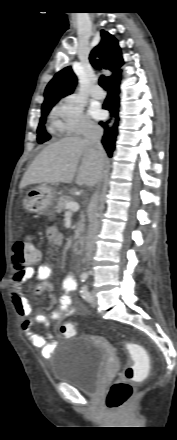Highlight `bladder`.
Returning <instances> with one entry per match:
<instances>
[{
	"label": "bladder",
	"mask_w": 177,
	"mask_h": 440,
	"mask_svg": "<svg viewBox=\"0 0 177 440\" xmlns=\"http://www.w3.org/2000/svg\"><path fill=\"white\" fill-rule=\"evenodd\" d=\"M109 361V347L102 339L78 337L72 344L58 345L50 375L53 381L68 383L79 391L96 395Z\"/></svg>",
	"instance_id": "31cf9c89"
}]
</instances>
